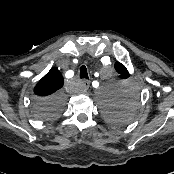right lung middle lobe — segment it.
<instances>
[{
	"label": "right lung middle lobe",
	"instance_id": "1",
	"mask_svg": "<svg viewBox=\"0 0 174 174\" xmlns=\"http://www.w3.org/2000/svg\"><path fill=\"white\" fill-rule=\"evenodd\" d=\"M62 96L59 93L48 97H37L34 115L39 120H50L62 111Z\"/></svg>",
	"mask_w": 174,
	"mask_h": 174
}]
</instances>
